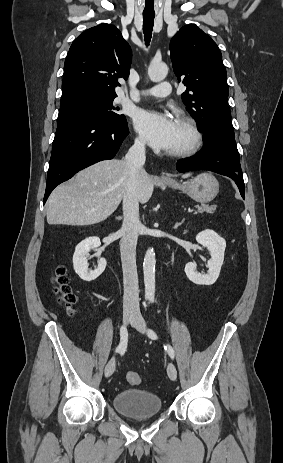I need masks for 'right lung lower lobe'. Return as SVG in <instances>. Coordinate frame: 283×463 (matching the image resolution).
Masks as SVG:
<instances>
[{
	"instance_id": "1",
	"label": "right lung lower lobe",
	"mask_w": 283,
	"mask_h": 463,
	"mask_svg": "<svg viewBox=\"0 0 283 463\" xmlns=\"http://www.w3.org/2000/svg\"><path fill=\"white\" fill-rule=\"evenodd\" d=\"M129 134L122 121L82 118L58 126L52 145L44 203L52 190L98 161L112 159Z\"/></svg>"
}]
</instances>
